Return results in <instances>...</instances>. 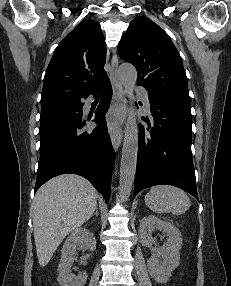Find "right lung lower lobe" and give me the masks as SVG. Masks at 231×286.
Returning <instances> with one entry per match:
<instances>
[{
    "mask_svg": "<svg viewBox=\"0 0 231 286\" xmlns=\"http://www.w3.org/2000/svg\"><path fill=\"white\" fill-rule=\"evenodd\" d=\"M103 92L96 110L97 127L84 131L82 99ZM112 97V87L105 82L68 103L71 113L40 123V160L34 192L46 181L60 174L75 173L88 179L102 193L106 202L110 197L111 175L115 162L104 114Z\"/></svg>",
    "mask_w": 231,
    "mask_h": 286,
    "instance_id": "1",
    "label": "right lung lower lobe"
}]
</instances>
